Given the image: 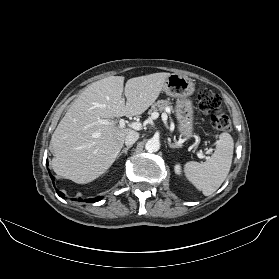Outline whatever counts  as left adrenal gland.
<instances>
[{"label": "left adrenal gland", "mask_w": 279, "mask_h": 279, "mask_svg": "<svg viewBox=\"0 0 279 279\" xmlns=\"http://www.w3.org/2000/svg\"><path fill=\"white\" fill-rule=\"evenodd\" d=\"M168 146H169L170 148H180V145L171 143L170 139L168 140Z\"/></svg>", "instance_id": "left-adrenal-gland-1"}]
</instances>
